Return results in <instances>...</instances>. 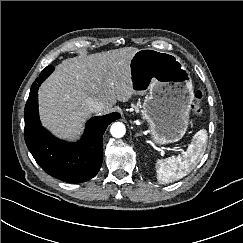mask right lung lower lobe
Wrapping results in <instances>:
<instances>
[{
	"label": "right lung lower lobe",
	"instance_id": "right-lung-lower-lobe-1",
	"mask_svg": "<svg viewBox=\"0 0 243 243\" xmlns=\"http://www.w3.org/2000/svg\"><path fill=\"white\" fill-rule=\"evenodd\" d=\"M53 70L52 66H47L31 87L24 110L25 142L47 174L64 182H85L98 173L103 160L102 136L107 126L120 115L93 117L88 121L82 139L75 144L54 137L42 127L38 114L39 86Z\"/></svg>",
	"mask_w": 243,
	"mask_h": 243
}]
</instances>
